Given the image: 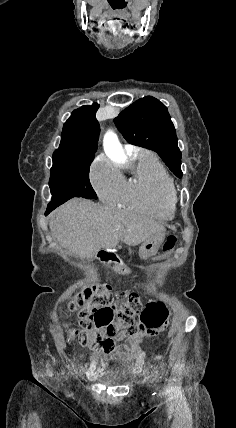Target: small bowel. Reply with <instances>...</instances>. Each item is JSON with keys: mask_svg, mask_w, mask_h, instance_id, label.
I'll return each instance as SVG.
<instances>
[{"mask_svg": "<svg viewBox=\"0 0 236 428\" xmlns=\"http://www.w3.org/2000/svg\"><path fill=\"white\" fill-rule=\"evenodd\" d=\"M157 331L140 332L135 335L127 336L124 328L120 329V337L125 339V342L113 353L102 354L93 353L89 356V362L86 365L88 375L92 377L98 376L109 361H118L128 364L133 360L138 363L144 358V352L140 347V343L147 336L155 335Z\"/></svg>", "mask_w": 236, "mask_h": 428, "instance_id": "small-bowel-1", "label": "small bowel"}]
</instances>
